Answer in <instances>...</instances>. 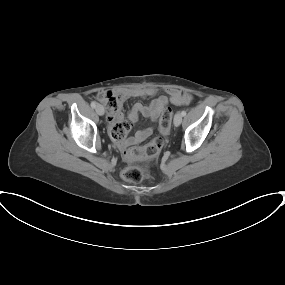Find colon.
<instances>
[{"label": "colon", "mask_w": 285, "mask_h": 285, "mask_svg": "<svg viewBox=\"0 0 285 285\" xmlns=\"http://www.w3.org/2000/svg\"><path fill=\"white\" fill-rule=\"evenodd\" d=\"M99 100L105 104L108 113H117L120 111L122 106V101L119 97L107 92L101 93L99 95ZM172 124V111L170 109H165L160 117V131L162 134L167 133ZM129 131V124L122 122L110 129L111 138L118 144H121ZM164 141L161 136L153 138L147 144L138 147H129L125 150L124 156L128 160L134 159H150L159 154L163 148ZM151 176L150 166L147 162L140 165L128 166L123 171V177L130 182H141L149 179Z\"/></svg>", "instance_id": "colon-1"}]
</instances>
